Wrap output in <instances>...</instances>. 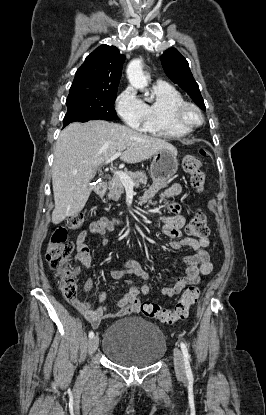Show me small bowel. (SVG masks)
I'll return each instance as SVG.
<instances>
[{
    "instance_id": "1",
    "label": "small bowel",
    "mask_w": 266,
    "mask_h": 415,
    "mask_svg": "<svg viewBox=\"0 0 266 415\" xmlns=\"http://www.w3.org/2000/svg\"><path fill=\"white\" fill-rule=\"evenodd\" d=\"M182 192V186L179 183H173L167 187L163 182L153 184L144 194L143 202L150 201L152 205L156 204L155 196L160 200L176 197ZM169 215L160 217L161 229L163 233L170 238H173L171 247L179 250L183 247H189L196 251L194 255L186 256L182 259V263L186 265L185 274L182 277L173 279V284L165 283L162 288V294L168 297L179 294L186 286L196 284L200 280L201 275L209 274L213 269V264L210 255L207 251L209 241L207 238L194 239L190 237L181 238V230L185 224V218L181 214V206L178 203H170L166 206ZM113 229L110 221L103 218L94 221L90 224L89 229L81 232L75 241L76 255L75 261L80 262L84 267L89 268L92 264L90 249L86 244L88 233L102 237L103 245L108 244L106 238L107 232ZM124 269H113L111 271L112 278L119 280L127 276L133 275L143 280V285L139 288L131 279H126L125 284L127 290L117 304V310L114 312H107L105 305L106 293L100 292L99 301L101 306L94 307L93 304L83 298L78 297L71 302L72 305L87 319L92 327H98L101 321L105 319L120 318L129 314L138 313L140 311L141 303L138 298L139 293L147 295L150 293L148 284L149 275L143 267L136 261H127L123 264ZM93 285L92 280H88L84 285V292H88Z\"/></svg>"
}]
</instances>
